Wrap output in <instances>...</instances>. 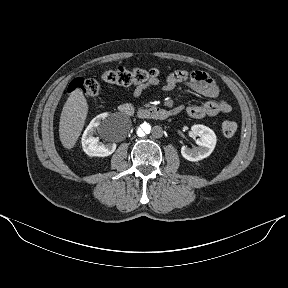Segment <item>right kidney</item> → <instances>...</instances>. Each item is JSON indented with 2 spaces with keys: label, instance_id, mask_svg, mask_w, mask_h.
<instances>
[{
  "label": "right kidney",
  "instance_id": "obj_1",
  "mask_svg": "<svg viewBox=\"0 0 288 288\" xmlns=\"http://www.w3.org/2000/svg\"><path fill=\"white\" fill-rule=\"evenodd\" d=\"M104 115L96 116L85 129L82 136V148L84 152L89 156L106 157L111 155L115 149V143L104 144L99 141L98 137H95V132H104L102 126V121L104 120Z\"/></svg>",
  "mask_w": 288,
  "mask_h": 288
}]
</instances>
